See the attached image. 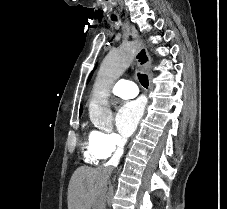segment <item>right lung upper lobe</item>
<instances>
[{
	"label": "right lung upper lobe",
	"instance_id": "right-lung-upper-lobe-1",
	"mask_svg": "<svg viewBox=\"0 0 227 209\" xmlns=\"http://www.w3.org/2000/svg\"><path fill=\"white\" fill-rule=\"evenodd\" d=\"M81 112H82V106H81V108H80V114H81Z\"/></svg>",
	"mask_w": 227,
	"mask_h": 209
}]
</instances>
